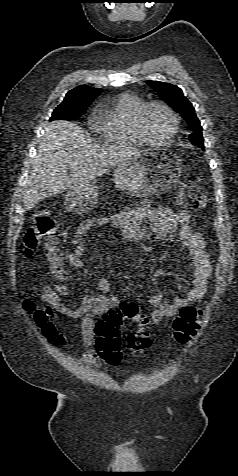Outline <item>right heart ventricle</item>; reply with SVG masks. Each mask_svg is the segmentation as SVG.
I'll use <instances>...</instances> for the list:
<instances>
[{
	"instance_id": "right-heart-ventricle-1",
	"label": "right heart ventricle",
	"mask_w": 238,
	"mask_h": 476,
	"mask_svg": "<svg viewBox=\"0 0 238 476\" xmlns=\"http://www.w3.org/2000/svg\"><path fill=\"white\" fill-rule=\"evenodd\" d=\"M139 96L123 92L115 95L101 109L97 130L109 143L142 145L146 141L136 127V115L144 104Z\"/></svg>"
}]
</instances>
